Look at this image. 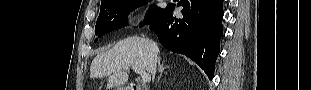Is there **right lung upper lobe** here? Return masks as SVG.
<instances>
[{
	"instance_id": "1",
	"label": "right lung upper lobe",
	"mask_w": 311,
	"mask_h": 90,
	"mask_svg": "<svg viewBox=\"0 0 311 90\" xmlns=\"http://www.w3.org/2000/svg\"><path fill=\"white\" fill-rule=\"evenodd\" d=\"M106 1H108V0H102L101 3H104V2H106Z\"/></svg>"
}]
</instances>
